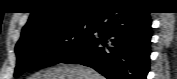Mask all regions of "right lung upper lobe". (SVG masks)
Wrapping results in <instances>:
<instances>
[{
  "label": "right lung upper lobe",
  "instance_id": "obj_1",
  "mask_svg": "<svg viewBox=\"0 0 177 79\" xmlns=\"http://www.w3.org/2000/svg\"><path fill=\"white\" fill-rule=\"evenodd\" d=\"M115 2L119 1H110L109 3L90 0L36 1L29 20L22 29L21 37L52 25L74 21H93L104 9L116 6Z\"/></svg>",
  "mask_w": 177,
  "mask_h": 79
}]
</instances>
